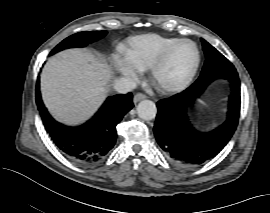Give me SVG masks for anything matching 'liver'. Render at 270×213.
Wrapping results in <instances>:
<instances>
[{"label": "liver", "instance_id": "1", "mask_svg": "<svg viewBox=\"0 0 270 213\" xmlns=\"http://www.w3.org/2000/svg\"><path fill=\"white\" fill-rule=\"evenodd\" d=\"M109 79L107 64L93 54L65 50L51 57L42 71L43 101L57 120L78 124L101 105Z\"/></svg>", "mask_w": 270, "mask_h": 213}]
</instances>
